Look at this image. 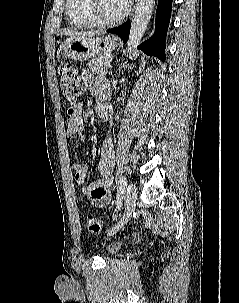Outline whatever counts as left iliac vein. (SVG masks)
<instances>
[{"label": "left iliac vein", "instance_id": "left-iliac-vein-1", "mask_svg": "<svg viewBox=\"0 0 239 303\" xmlns=\"http://www.w3.org/2000/svg\"><path fill=\"white\" fill-rule=\"evenodd\" d=\"M137 200L136 188L133 184H129L126 190V213L121 221L117 224L115 228L112 229L111 234L117 232L129 219L131 212L135 209Z\"/></svg>", "mask_w": 239, "mask_h": 303}]
</instances>
